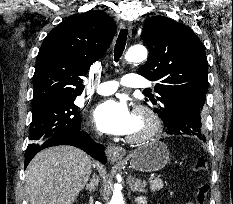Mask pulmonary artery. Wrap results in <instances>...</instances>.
I'll list each match as a JSON object with an SVG mask.
<instances>
[{
	"label": "pulmonary artery",
	"instance_id": "1",
	"mask_svg": "<svg viewBox=\"0 0 233 204\" xmlns=\"http://www.w3.org/2000/svg\"><path fill=\"white\" fill-rule=\"evenodd\" d=\"M121 84L131 88H147L151 82L137 74H127L122 78ZM119 87L117 81L102 82L97 86L96 92L100 95H110Z\"/></svg>",
	"mask_w": 233,
	"mask_h": 204
}]
</instances>
